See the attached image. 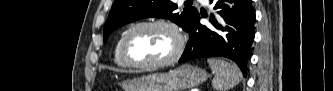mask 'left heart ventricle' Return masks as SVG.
Here are the masks:
<instances>
[{
  "label": "left heart ventricle",
  "instance_id": "obj_1",
  "mask_svg": "<svg viewBox=\"0 0 333 91\" xmlns=\"http://www.w3.org/2000/svg\"><path fill=\"white\" fill-rule=\"evenodd\" d=\"M176 47V37L165 27L137 30L129 40V54L137 62L153 63L169 58Z\"/></svg>",
  "mask_w": 333,
  "mask_h": 91
}]
</instances>
